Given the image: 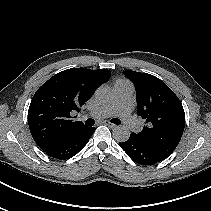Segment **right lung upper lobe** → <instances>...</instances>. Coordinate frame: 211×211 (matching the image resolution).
<instances>
[{
	"instance_id": "obj_1",
	"label": "right lung upper lobe",
	"mask_w": 211,
	"mask_h": 211,
	"mask_svg": "<svg viewBox=\"0 0 211 211\" xmlns=\"http://www.w3.org/2000/svg\"><path fill=\"white\" fill-rule=\"evenodd\" d=\"M110 76V71L105 69H67L51 77L36 91L28 110V124L34 141L42 150L86 128L81 121H73L71 114L79 112Z\"/></svg>"
}]
</instances>
